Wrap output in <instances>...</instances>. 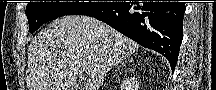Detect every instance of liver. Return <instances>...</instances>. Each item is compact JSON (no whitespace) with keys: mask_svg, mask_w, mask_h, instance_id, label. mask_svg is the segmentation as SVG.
Masks as SVG:
<instances>
[{"mask_svg":"<svg viewBox=\"0 0 216 90\" xmlns=\"http://www.w3.org/2000/svg\"><path fill=\"white\" fill-rule=\"evenodd\" d=\"M140 46L111 26L89 16H64L33 38L28 48V90H100L121 60ZM82 66L89 76L85 86H75Z\"/></svg>","mask_w":216,"mask_h":90,"instance_id":"obj_1","label":"liver"}]
</instances>
